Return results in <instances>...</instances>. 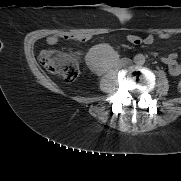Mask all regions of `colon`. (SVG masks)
Wrapping results in <instances>:
<instances>
[{"instance_id":"1","label":"colon","mask_w":181,"mask_h":181,"mask_svg":"<svg viewBox=\"0 0 181 181\" xmlns=\"http://www.w3.org/2000/svg\"><path fill=\"white\" fill-rule=\"evenodd\" d=\"M39 61L48 72L59 76L66 82H73L78 77L79 68L72 57L53 51H42ZM178 90L181 93V80L178 83Z\"/></svg>"}]
</instances>
